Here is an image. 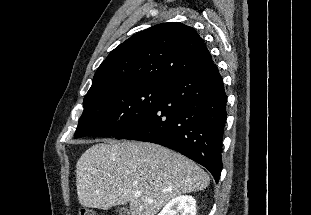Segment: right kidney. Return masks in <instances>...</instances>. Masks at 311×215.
<instances>
[{
    "label": "right kidney",
    "instance_id": "right-kidney-1",
    "mask_svg": "<svg viewBox=\"0 0 311 215\" xmlns=\"http://www.w3.org/2000/svg\"><path fill=\"white\" fill-rule=\"evenodd\" d=\"M158 215H196V200L188 195L177 196Z\"/></svg>",
    "mask_w": 311,
    "mask_h": 215
}]
</instances>
